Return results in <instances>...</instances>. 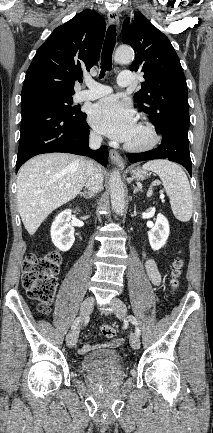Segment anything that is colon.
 Here are the masks:
<instances>
[{
  "instance_id": "obj_1",
  "label": "colon",
  "mask_w": 213,
  "mask_h": 433,
  "mask_svg": "<svg viewBox=\"0 0 213 433\" xmlns=\"http://www.w3.org/2000/svg\"><path fill=\"white\" fill-rule=\"evenodd\" d=\"M61 264V256L57 251L43 255L28 254L22 263V286L27 295L39 302V311L49 312L57 287V274ZM184 261L177 257L172 264L171 286L175 290L179 286ZM102 334L107 338H114L116 330L109 324L100 327Z\"/></svg>"
}]
</instances>
